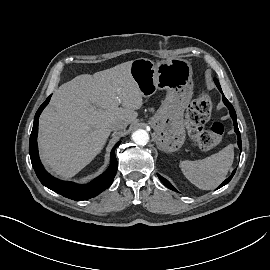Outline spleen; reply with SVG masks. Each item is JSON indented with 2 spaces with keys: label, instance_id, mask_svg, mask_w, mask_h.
I'll list each match as a JSON object with an SVG mask.
<instances>
[{
  "label": "spleen",
  "instance_id": "spleen-1",
  "mask_svg": "<svg viewBox=\"0 0 270 270\" xmlns=\"http://www.w3.org/2000/svg\"><path fill=\"white\" fill-rule=\"evenodd\" d=\"M234 160L233 145H228L216 154L205 159L180 162L184 176L196 187L211 190L226 178Z\"/></svg>",
  "mask_w": 270,
  "mask_h": 270
}]
</instances>
